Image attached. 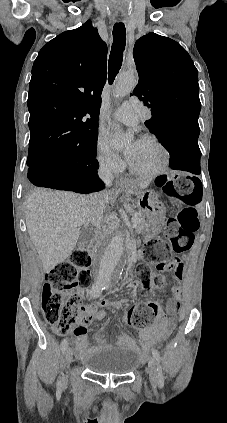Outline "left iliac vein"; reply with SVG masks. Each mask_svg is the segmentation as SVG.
Here are the masks:
<instances>
[{"instance_id": "1", "label": "left iliac vein", "mask_w": 227, "mask_h": 423, "mask_svg": "<svg viewBox=\"0 0 227 423\" xmlns=\"http://www.w3.org/2000/svg\"><path fill=\"white\" fill-rule=\"evenodd\" d=\"M148 368H149L148 373H149L151 385L153 388H156L158 383L157 371H156L155 358L152 356L149 358Z\"/></svg>"}]
</instances>
